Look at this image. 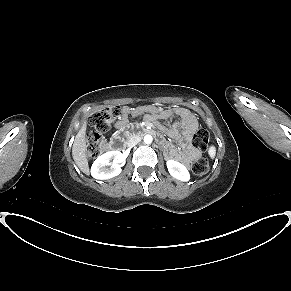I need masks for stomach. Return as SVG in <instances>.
Segmentation results:
<instances>
[{"instance_id": "0dacf381", "label": "stomach", "mask_w": 291, "mask_h": 291, "mask_svg": "<svg viewBox=\"0 0 291 291\" xmlns=\"http://www.w3.org/2000/svg\"><path fill=\"white\" fill-rule=\"evenodd\" d=\"M160 109H162V110H168V109H170V107L167 106V105H165V104H160Z\"/></svg>"}]
</instances>
